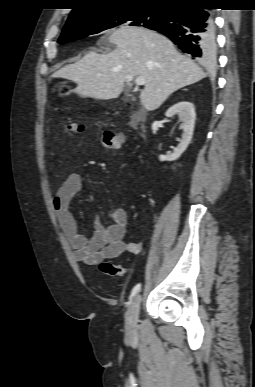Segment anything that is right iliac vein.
Here are the masks:
<instances>
[{"mask_svg": "<svg viewBox=\"0 0 255 387\" xmlns=\"http://www.w3.org/2000/svg\"><path fill=\"white\" fill-rule=\"evenodd\" d=\"M142 302L141 294L135 295L133 298L129 310L125 315V328L129 336H134L137 331V321L139 316L140 305Z\"/></svg>", "mask_w": 255, "mask_h": 387, "instance_id": "right-iliac-vein-1", "label": "right iliac vein"}]
</instances>
